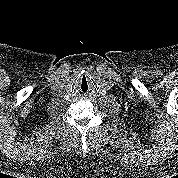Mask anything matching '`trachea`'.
I'll return each mask as SVG.
<instances>
[{"label": "trachea", "instance_id": "3493384b", "mask_svg": "<svg viewBox=\"0 0 178 178\" xmlns=\"http://www.w3.org/2000/svg\"><path fill=\"white\" fill-rule=\"evenodd\" d=\"M78 87H79L80 91H82V92H87L88 91V89H89V81L85 76L80 78V80L78 82Z\"/></svg>", "mask_w": 178, "mask_h": 178}]
</instances>
